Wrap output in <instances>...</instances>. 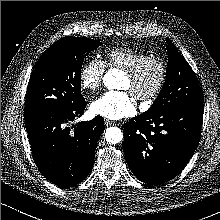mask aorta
I'll use <instances>...</instances> for the list:
<instances>
[{
  "label": "aorta",
  "mask_w": 220,
  "mask_h": 220,
  "mask_svg": "<svg viewBox=\"0 0 220 220\" xmlns=\"http://www.w3.org/2000/svg\"><path fill=\"white\" fill-rule=\"evenodd\" d=\"M120 71L116 69L109 70L103 77L106 88L116 89ZM105 139L110 144H117L123 139V134L118 127H109L105 132Z\"/></svg>",
  "instance_id": "aorta-1"
}]
</instances>
